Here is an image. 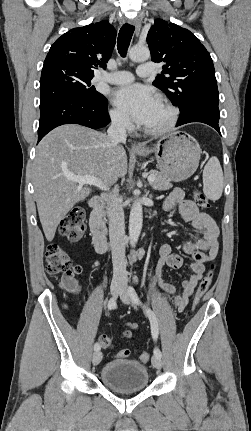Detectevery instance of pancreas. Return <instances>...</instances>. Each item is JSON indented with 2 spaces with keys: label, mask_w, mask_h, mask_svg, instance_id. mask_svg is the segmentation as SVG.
Listing matches in <instances>:
<instances>
[{
  "label": "pancreas",
  "mask_w": 251,
  "mask_h": 431,
  "mask_svg": "<svg viewBox=\"0 0 251 431\" xmlns=\"http://www.w3.org/2000/svg\"><path fill=\"white\" fill-rule=\"evenodd\" d=\"M149 175L155 176V180L150 183L153 189H155V190H169L170 188H172V184L170 183V181L167 178H165L162 174H160L159 172H157L155 170H151V171H149Z\"/></svg>",
  "instance_id": "1"
}]
</instances>
